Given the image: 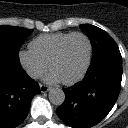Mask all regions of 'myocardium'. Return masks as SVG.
<instances>
[{
  "instance_id": "myocardium-1",
  "label": "myocardium",
  "mask_w": 128,
  "mask_h": 128,
  "mask_svg": "<svg viewBox=\"0 0 128 128\" xmlns=\"http://www.w3.org/2000/svg\"><path fill=\"white\" fill-rule=\"evenodd\" d=\"M75 36H81L86 40L87 45H88V54H87V59H86L85 65H84L83 69L80 71V73L77 76H75L74 78L70 79V80L61 81V83L66 85V86L74 85L77 82H79L80 80H82L83 77L86 75L89 67H90V64H91V61H92V55H93V45H92V41H91L90 37L87 34L83 33V32H73V33H71L69 36H67L60 43V45L58 46L55 54L53 55L52 59L50 60V62L48 64V68L51 71L53 65L60 59V57L63 53L64 47L67 44V42Z\"/></svg>"
}]
</instances>
